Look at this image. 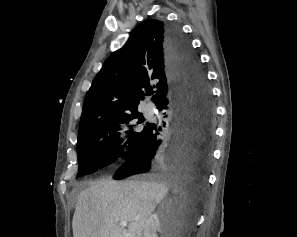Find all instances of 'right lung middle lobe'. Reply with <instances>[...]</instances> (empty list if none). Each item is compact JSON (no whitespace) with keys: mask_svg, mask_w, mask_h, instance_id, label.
<instances>
[{"mask_svg":"<svg viewBox=\"0 0 297 237\" xmlns=\"http://www.w3.org/2000/svg\"><path fill=\"white\" fill-rule=\"evenodd\" d=\"M121 123L128 124L129 127L127 131L129 150L127 152H123L122 141L118 139ZM151 126L152 124L149 123L144 125L141 113L133 112L115 115L87 128L78 135L76 149L79 171L77 177L107 166L119 157L127 158L146 138Z\"/></svg>","mask_w":297,"mask_h":237,"instance_id":"dd1d6c3e","label":"right lung middle lobe"}]
</instances>
